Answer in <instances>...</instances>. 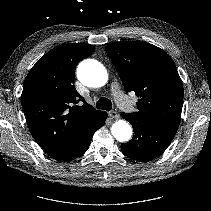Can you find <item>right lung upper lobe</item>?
<instances>
[{"label": "right lung upper lobe", "instance_id": "cb5924a9", "mask_svg": "<svg viewBox=\"0 0 211 211\" xmlns=\"http://www.w3.org/2000/svg\"><path fill=\"white\" fill-rule=\"evenodd\" d=\"M92 45L70 43L46 53L30 70L21 95L27 124L50 156L65 149L104 112L86 104L76 91V65L94 52ZM79 101L84 104L79 106Z\"/></svg>", "mask_w": 211, "mask_h": 211}]
</instances>
